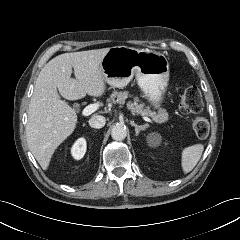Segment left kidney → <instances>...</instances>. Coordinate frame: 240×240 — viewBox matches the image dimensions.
<instances>
[{
	"label": "left kidney",
	"instance_id": "1",
	"mask_svg": "<svg viewBox=\"0 0 240 240\" xmlns=\"http://www.w3.org/2000/svg\"><path fill=\"white\" fill-rule=\"evenodd\" d=\"M161 143V136L157 133H152L148 136V144L151 147H157Z\"/></svg>",
	"mask_w": 240,
	"mask_h": 240
}]
</instances>
